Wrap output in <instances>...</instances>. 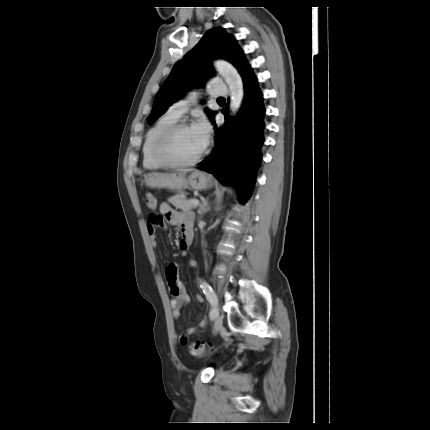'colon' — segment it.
<instances>
[{"mask_svg": "<svg viewBox=\"0 0 430 430\" xmlns=\"http://www.w3.org/2000/svg\"><path fill=\"white\" fill-rule=\"evenodd\" d=\"M146 203L147 206L150 209H155L156 208V200L155 198L151 195V194H147L146 196ZM157 217V215H154ZM189 352L191 355L193 356H204L206 355L209 351H207L205 343L201 342V341H196L193 342L190 346H189Z\"/></svg>", "mask_w": 430, "mask_h": 430, "instance_id": "obj_1", "label": "colon"}]
</instances>
